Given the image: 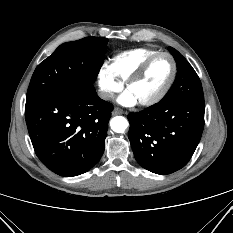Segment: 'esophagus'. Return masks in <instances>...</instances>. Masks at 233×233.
<instances>
[{"label": "esophagus", "instance_id": "1", "mask_svg": "<svg viewBox=\"0 0 233 233\" xmlns=\"http://www.w3.org/2000/svg\"><path fill=\"white\" fill-rule=\"evenodd\" d=\"M113 115H120L123 114V110L121 108L115 107L112 111Z\"/></svg>", "mask_w": 233, "mask_h": 233}]
</instances>
